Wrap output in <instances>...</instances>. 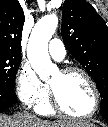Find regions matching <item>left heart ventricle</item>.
Here are the masks:
<instances>
[{
  "instance_id": "b2bd125f",
  "label": "left heart ventricle",
  "mask_w": 108,
  "mask_h": 127,
  "mask_svg": "<svg viewBox=\"0 0 108 127\" xmlns=\"http://www.w3.org/2000/svg\"><path fill=\"white\" fill-rule=\"evenodd\" d=\"M49 84L56 90L62 106L68 112L83 115L92 109L93 93L88 82L81 74L62 75L57 72Z\"/></svg>"
}]
</instances>
